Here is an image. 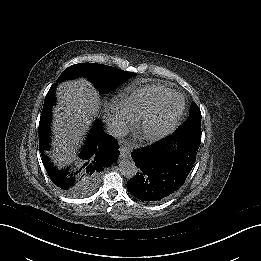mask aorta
Segmentation results:
<instances>
[{
    "mask_svg": "<svg viewBox=\"0 0 261 261\" xmlns=\"http://www.w3.org/2000/svg\"><path fill=\"white\" fill-rule=\"evenodd\" d=\"M119 169L121 174L127 179H133L139 172V168L131 159H121L119 161Z\"/></svg>",
    "mask_w": 261,
    "mask_h": 261,
    "instance_id": "obj_1",
    "label": "aorta"
}]
</instances>
